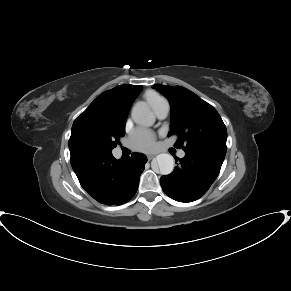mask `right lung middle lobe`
Here are the masks:
<instances>
[{
    "label": "right lung middle lobe",
    "instance_id": "right-lung-middle-lobe-1",
    "mask_svg": "<svg viewBox=\"0 0 291 291\" xmlns=\"http://www.w3.org/2000/svg\"><path fill=\"white\" fill-rule=\"evenodd\" d=\"M125 134V122L106 119L99 124L82 126L74 136L72 147L77 153L109 154L120 144Z\"/></svg>",
    "mask_w": 291,
    "mask_h": 291
}]
</instances>
